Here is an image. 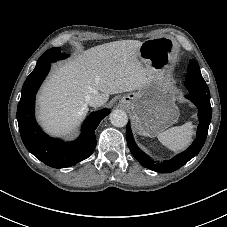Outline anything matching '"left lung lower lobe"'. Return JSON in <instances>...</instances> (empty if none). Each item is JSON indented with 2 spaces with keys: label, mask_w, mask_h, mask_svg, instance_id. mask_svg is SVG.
Segmentation results:
<instances>
[{
  "label": "left lung lower lobe",
  "mask_w": 227,
  "mask_h": 227,
  "mask_svg": "<svg viewBox=\"0 0 227 227\" xmlns=\"http://www.w3.org/2000/svg\"><path fill=\"white\" fill-rule=\"evenodd\" d=\"M187 99L191 100L198 107V118H199V126L197 130V137L192 143V145L185 150L183 153L178 154L174 158L164 161L163 163L156 164L149 156H147L143 151H141L136 143L134 142L133 135L131 132L130 124H127L126 127V140L128 147L132 153V155L146 168L151 169L156 172L161 173H170L173 172L184 164H186L189 160H191L194 156H196L201 148L203 147L207 134L208 128L211 121L212 116V108L210 105V98L202 97L196 94H188L185 96Z\"/></svg>",
  "instance_id": "obj_1"
}]
</instances>
